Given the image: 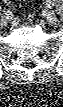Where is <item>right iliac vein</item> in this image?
<instances>
[{
  "label": "right iliac vein",
  "instance_id": "63e3f726",
  "mask_svg": "<svg viewBox=\"0 0 63 107\" xmlns=\"http://www.w3.org/2000/svg\"><path fill=\"white\" fill-rule=\"evenodd\" d=\"M7 23H8V19L5 16H3L2 19H1V25L6 26Z\"/></svg>",
  "mask_w": 63,
  "mask_h": 107
}]
</instances>
